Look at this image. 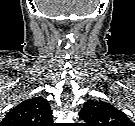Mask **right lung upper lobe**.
I'll return each instance as SVG.
<instances>
[{
	"instance_id": "cb5924a9",
	"label": "right lung upper lobe",
	"mask_w": 135,
	"mask_h": 126,
	"mask_svg": "<svg viewBox=\"0 0 135 126\" xmlns=\"http://www.w3.org/2000/svg\"><path fill=\"white\" fill-rule=\"evenodd\" d=\"M52 111L43 97L27 99L12 108L0 123L1 126H50Z\"/></svg>"
}]
</instances>
